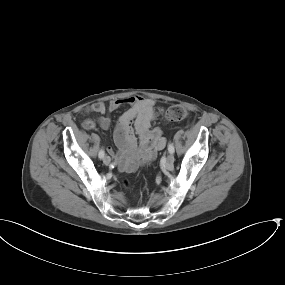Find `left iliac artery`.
I'll return each instance as SVG.
<instances>
[{
    "mask_svg": "<svg viewBox=\"0 0 285 285\" xmlns=\"http://www.w3.org/2000/svg\"><path fill=\"white\" fill-rule=\"evenodd\" d=\"M168 151H169L170 153H174V146L172 145V143H169V144H168Z\"/></svg>",
    "mask_w": 285,
    "mask_h": 285,
    "instance_id": "left-iliac-artery-1",
    "label": "left iliac artery"
}]
</instances>
